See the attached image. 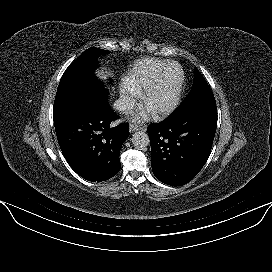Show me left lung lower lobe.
Masks as SVG:
<instances>
[{
    "instance_id": "obj_1",
    "label": "left lung lower lobe",
    "mask_w": 272,
    "mask_h": 272,
    "mask_svg": "<svg viewBox=\"0 0 272 272\" xmlns=\"http://www.w3.org/2000/svg\"><path fill=\"white\" fill-rule=\"evenodd\" d=\"M216 128V103L175 110L151 124L147 131L155 177L171 186L190 182L210 155Z\"/></svg>"
}]
</instances>
